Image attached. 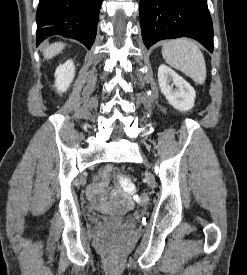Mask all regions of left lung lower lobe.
Instances as JSON below:
<instances>
[{
  "instance_id": "1",
  "label": "left lung lower lobe",
  "mask_w": 247,
  "mask_h": 275,
  "mask_svg": "<svg viewBox=\"0 0 247 275\" xmlns=\"http://www.w3.org/2000/svg\"><path fill=\"white\" fill-rule=\"evenodd\" d=\"M140 22L148 49L159 40L190 37L213 52V25L206 0H140Z\"/></svg>"
}]
</instances>
